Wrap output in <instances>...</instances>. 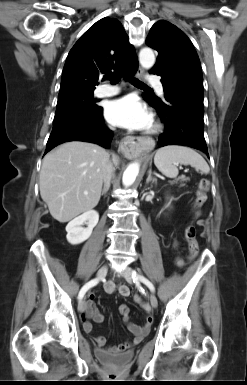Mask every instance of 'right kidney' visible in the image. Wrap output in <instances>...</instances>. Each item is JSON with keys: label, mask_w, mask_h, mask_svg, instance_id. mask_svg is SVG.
<instances>
[{"label": "right kidney", "mask_w": 247, "mask_h": 385, "mask_svg": "<svg viewBox=\"0 0 247 385\" xmlns=\"http://www.w3.org/2000/svg\"><path fill=\"white\" fill-rule=\"evenodd\" d=\"M87 221V228H83L82 224ZM99 221V214L95 210H89L82 215L76 217L66 226L67 241L72 245H78L86 241L92 234L93 228Z\"/></svg>", "instance_id": "1"}]
</instances>
